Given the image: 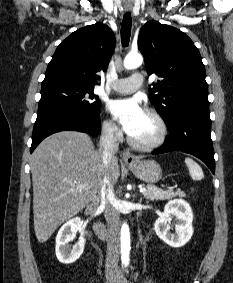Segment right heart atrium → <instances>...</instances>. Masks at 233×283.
<instances>
[{"mask_svg": "<svg viewBox=\"0 0 233 283\" xmlns=\"http://www.w3.org/2000/svg\"><path fill=\"white\" fill-rule=\"evenodd\" d=\"M101 129L103 135L108 139L116 140L120 136V130L112 119L105 118L102 121Z\"/></svg>", "mask_w": 233, "mask_h": 283, "instance_id": "right-heart-atrium-1", "label": "right heart atrium"}]
</instances>
